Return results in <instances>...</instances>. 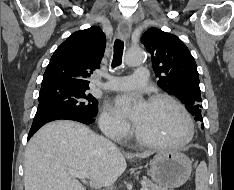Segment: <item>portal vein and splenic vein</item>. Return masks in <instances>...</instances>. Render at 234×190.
<instances>
[{
	"instance_id": "1",
	"label": "portal vein and splenic vein",
	"mask_w": 234,
	"mask_h": 190,
	"mask_svg": "<svg viewBox=\"0 0 234 190\" xmlns=\"http://www.w3.org/2000/svg\"><path fill=\"white\" fill-rule=\"evenodd\" d=\"M69 174L82 180L89 179V175L86 172L70 170ZM140 190H148V188L146 186H142Z\"/></svg>"
}]
</instances>
